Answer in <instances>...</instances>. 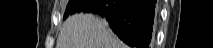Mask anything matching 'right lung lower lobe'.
Listing matches in <instances>:
<instances>
[{"label":"right lung lower lobe","instance_id":"obj_1","mask_svg":"<svg viewBox=\"0 0 213 48\" xmlns=\"http://www.w3.org/2000/svg\"><path fill=\"white\" fill-rule=\"evenodd\" d=\"M156 0H89L82 12L104 18L113 32L133 48H148Z\"/></svg>","mask_w":213,"mask_h":48}]
</instances>
